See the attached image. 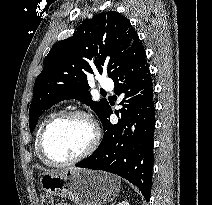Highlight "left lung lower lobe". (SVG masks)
<instances>
[{"instance_id": "left-lung-lower-lobe-1", "label": "left lung lower lobe", "mask_w": 212, "mask_h": 205, "mask_svg": "<svg viewBox=\"0 0 212 205\" xmlns=\"http://www.w3.org/2000/svg\"><path fill=\"white\" fill-rule=\"evenodd\" d=\"M111 78L115 93L125 96L120 103L124 108L116 111L121 118L112 125L108 120L112 110L108 106L101 119L105 132L101 144L76 166L117 174L136 185L148 201L154 160L155 106L153 83L139 37L132 42Z\"/></svg>"}]
</instances>
